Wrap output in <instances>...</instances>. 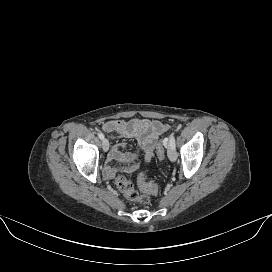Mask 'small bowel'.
Returning a JSON list of instances; mask_svg holds the SVG:
<instances>
[{
  "label": "small bowel",
  "instance_id": "obj_1",
  "mask_svg": "<svg viewBox=\"0 0 272 272\" xmlns=\"http://www.w3.org/2000/svg\"><path fill=\"white\" fill-rule=\"evenodd\" d=\"M105 132H114L121 138H134L138 143L143 162L149 164L154 156V148L158 139L169 129V126L158 121L134 118L130 120H110L102 125ZM124 145H115L111 158L131 161L135 158L132 153L123 151ZM111 174V172H110Z\"/></svg>",
  "mask_w": 272,
  "mask_h": 272
}]
</instances>
